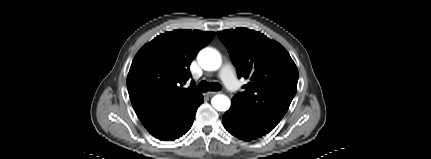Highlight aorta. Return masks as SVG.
Segmentation results:
<instances>
[{
	"label": "aorta",
	"instance_id": "obj_1",
	"mask_svg": "<svg viewBox=\"0 0 431 159\" xmlns=\"http://www.w3.org/2000/svg\"><path fill=\"white\" fill-rule=\"evenodd\" d=\"M197 60L199 65L207 71L218 70L221 66V56L212 48L202 49L197 56ZM211 104L217 111H227L231 102L227 96L218 94L212 98Z\"/></svg>",
	"mask_w": 431,
	"mask_h": 159
}]
</instances>
